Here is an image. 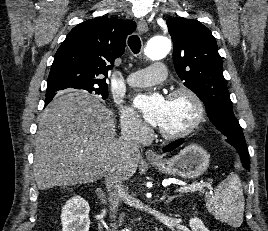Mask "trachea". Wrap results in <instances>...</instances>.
<instances>
[{"mask_svg":"<svg viewBox=\"0 0 268 231\" xmlns=\"http://www.w3.org/2000/svg\"><path fill=\"white\" fill-rule=\"evenodd\" d=\"M128 45L133 53H139L141 49V40L138 35H132L128 38Z\"/></svg>","mask_w":268,"mask_h":231,"instance_id":"1","label":"trachea"}]
</instances>
